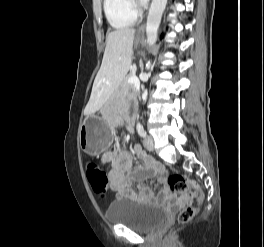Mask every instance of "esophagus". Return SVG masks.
I'll return each instance as SVG.
<instances>
[{
	"instance_id": "esophagus-1",
	"label": "esophagus",
	"mask_w": 264,
	"mask_h": 247,
	"mask_svg": "<svg viewBox=\"0 0 264 247\" xmlns=\"http://www.w3.org/2000/svg\"><path fill=\"white\" fill-rule=\"evenodd\" d=\"M143 30H144V25H141V26L139 27V29H138V33H142Z\"/></svg>"
}]
</instances>
